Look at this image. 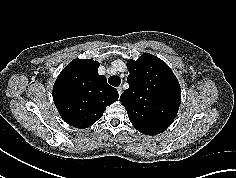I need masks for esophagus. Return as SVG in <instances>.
Returning a JSON list of instances; mask_svg holds the SVG:
<instances>
[{
  "label": "esophagus",
  "instance_id": "obj_1",
  "mask_svg": "<svg viewBox=\"0 0 236 178\" xmlns=\"http://www.w3.org/2000/svg\"><path fill=\"white\" fill-rule=\"evenodd\" d=\"M117 91H118L119 96H121V94H122V87L119 86V87L117 88Z\"/></svg>",
  "mask_w": 236,
  "mask_h": 178
}]
</instances>
